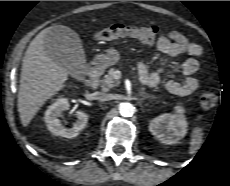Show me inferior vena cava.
<instances>
[{
  "mask_svg": "<svg viewBox=\"0 0 230 186\" xmlns=\"http://www.w3.org/2000/svg\"><path fill=\"white\" fill-rule=\"evenodd\" d=\"M94 98L100 101H108L111 98V95L104 92H95Z\"/></svg>",
  "mask_w": 230,
  "mask_h": 186,
  "instance_id": "1",
  "label": "inferior vena cava"
}]
</instances>
